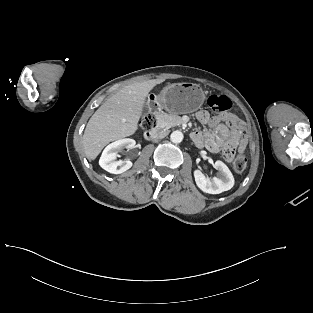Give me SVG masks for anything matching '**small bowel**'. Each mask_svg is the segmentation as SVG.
<instances>
[{
    "instance_id": "small-bowel-1",
    "label": "small bowel",
    "mask_w": 313,
    "mask_h": 313,
    "mask_svg": "<svg viewBox=\"0 0 313 313\" xmlns=\"http://www.w3.org/2000/svg\"><path fill=\"white\" fill-rule=\"evenodd\" d=\"M198 121L207 127L203 131H196L192 138L199 146L206 147L211 152H219L226 147L244 152L247 137L244 134L243 122L232 113H222L215 116L201 110L196 115Z\"/></svg>"
}]
</instances>
